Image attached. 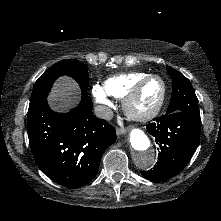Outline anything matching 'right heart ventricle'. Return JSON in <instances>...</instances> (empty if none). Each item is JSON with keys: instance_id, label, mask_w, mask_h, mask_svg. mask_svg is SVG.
<instances>
[{"instance_id": "obj_1", "label": "right heart ventricle", "mask_w": 221, "mask_h": 221, "mask_svg": "<svg viewBox=\"0 0 221 221\" xmlns=\"http://www.w3.org/2000/svg\"><path fill=\"white\" fill-rule=\"evenodd\" d=\"M149 75L146 72H130L114 75L105 80L103 88L107 94L117 98L123 99L135 84Z\"/></svg>"}]
</instances>
